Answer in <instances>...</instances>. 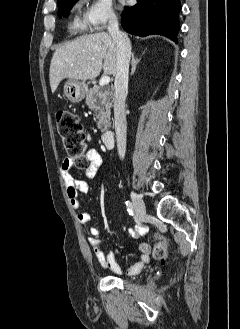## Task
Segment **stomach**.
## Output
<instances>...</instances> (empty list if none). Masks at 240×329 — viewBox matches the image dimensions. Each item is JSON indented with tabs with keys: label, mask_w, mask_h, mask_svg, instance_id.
Here are the masks:
<instances>
[{
	"label": "stomach",
	"mask_w": 240,
	"mask_h": 329,
	"mask_svg": "<svg viewBox=\"0 0 240 329\" xmlns=\"http://www.w3.org/2000/svg\"><path fill=\"white\" fill-rule=\"evenodd\" d=\"M86 92L87 85L84 81L68 79L64 84V95L73 103L82 101Z\"/></svg>",
	"instance_id": "stomach-1"
}]
</instances>
